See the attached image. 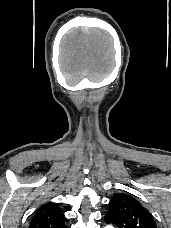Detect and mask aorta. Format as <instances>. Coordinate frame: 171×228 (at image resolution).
Instances as JSON below:
<instances>
[{
    "mask_svg": "<svg viewBox=\"0 0 171 228\" xmlns=\"http://www.w3.org/2000/svg\"><path fill=\"white\" fill-rule=\"evenodd\" d=\"M105 228H113L112 226H110V225H108V226H106Z\"/></svg>",
    "mask_w": 171,
    "mask_h": 228,
    "instance_id": "1",
    "label": "aorta"
}]
</instances>
